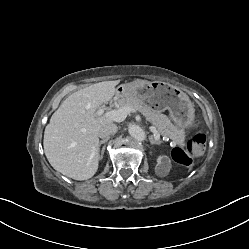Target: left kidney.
<instances>
[{
  "instance_id": "5707ae66",
  "label": "left kidney",
  "mask_w": 249,
  "mask_h": 249,
  "mask_svg": "<svg viewBox=\"0 0 249 249\" xmlns=\"http://www.w3.org/2000/svg\"><path fill=\"white\" fill-rule=\"evenodd\" d=\"M171 169V161L167 156H159L157 165L155 166V173L160 177L166 176Z\"/></svg>"
}]
</instances>
